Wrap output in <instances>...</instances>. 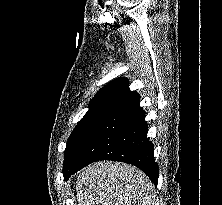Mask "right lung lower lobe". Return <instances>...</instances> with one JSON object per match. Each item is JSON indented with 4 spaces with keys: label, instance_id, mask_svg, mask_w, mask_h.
<instances>
[{
    "label": "right lung lower lobe",
    "instance_id": "obj_1",
    "mask_svg": "<svg viewBox=\"0 0 222 205\" xmlns=\"http://www.w3.org/2000/svg\"><path fill=\"white\" fill-rule=\"evenodd\" d=\"M139 102L140 96L135 93L107 112L63 171L65 179L92 162L115 160L137 166L157 185L159 169Z\"/></svg>",
    "mask_w": 222,
    "mask_h": 205
}]
</instances>
